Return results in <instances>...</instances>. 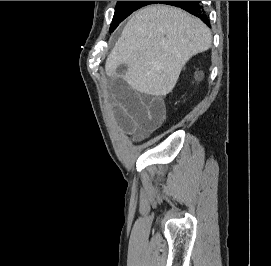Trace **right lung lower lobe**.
<instances>
[{
	"label": "right lung lower lobe",
	"mask_w": 271,
	"mask_h": 266,
	"mask_svg": "<svg viewBox=\"0 0 271 266\" xmlns=\"http://www.w3.org/2000/svg\"><path fill=\"white\" fill-rule=\"evenodd\" d=\"M157 3L180 7L200 18L207 26H210L209 19L201 5V1H158Z\"/></svg>",
	"instance_id": "obj_1"
}]
</instances>
